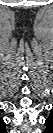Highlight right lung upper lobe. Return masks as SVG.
<instances>
[{
  "instance_id": "1",
  "label": "right lung upper lobe",
  "mask_w": 53,
  "mask_h": 133,
  "mask_svg": "<svg viewBox=\"0 0 53 133\" xmlns=\"http://www.w3.org/2000/svg\"><path fill=\"white\" fill-rule=\"evenodd\" d=\"M1 127H2V129L4 130L5 123H4V121H3V120H1Z\"/></svg>"
}]
</instances>
